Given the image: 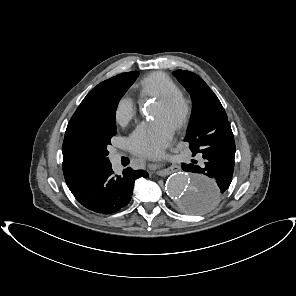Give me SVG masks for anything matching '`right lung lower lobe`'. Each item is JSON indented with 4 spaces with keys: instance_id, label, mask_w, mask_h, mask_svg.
Listing matches in <instances>:
<instances>
[{
    "instance_id": "98d812e1",
    "label": "right lung lower lobe",
    "mask_w": 296,
    "mask_h": 296,
    "mask_svg": "<svg viewBox=\"0 0 296 296\" xmlns=\"http://www.w3.org/2000/svg\"><path fill=\"white\" fill-rule=\"evenodd\" d=\"M148 177L146 171L127 168L123 176L114 175L111 163L91 174L71 190L85 208L101 214L114 213L128 205L136 179Z\"/></svg>"
}]
</instances>
